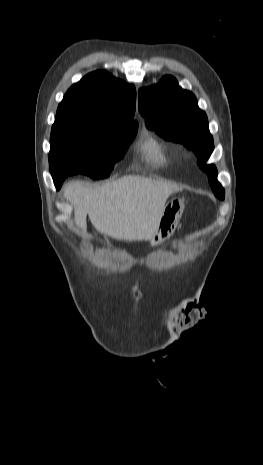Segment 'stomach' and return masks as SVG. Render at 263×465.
<instances>
[{
    "label": "stomach",
    "instance_id": "1",
    "mask_svg": "<svg viewBox=\"0 0 263 465\" xmlns=\"http://www.w3.org/2000/svg\"><path fill=\"white\" fill-rule=\"evenodd\" d=\"M184 208V201L179 198H173L165 205L156 232L150 240V245L152 247L170 238L181 219Z\"/></svg>",
    "mask_w": 263,
    "mask_h": 465
}]
</instances>
